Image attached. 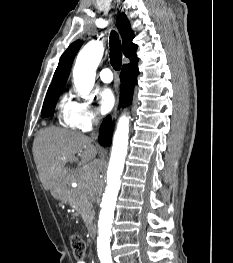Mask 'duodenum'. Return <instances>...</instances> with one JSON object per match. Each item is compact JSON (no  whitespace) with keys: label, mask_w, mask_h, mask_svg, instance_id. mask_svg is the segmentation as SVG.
<instances>
[{"label":"duodenum","mask_w":233,"mask_h":263,"mask_svg":"<svg viewBox=\"0 0 233 263\" xmlns=\"http://www.w3.org/2000/svg\"><path fill=\"white\" fill-rule=\"evenodd\" d=\"M88 230H89L90 238H91V239H94V238L96 237V226H95V224H94V223H91V224L89 225Z\"/></svg>","instance_id":"1"}]
</instances>
